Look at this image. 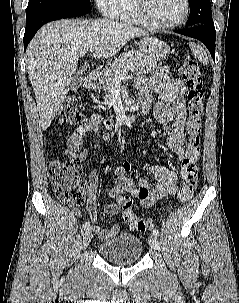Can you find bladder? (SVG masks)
<instances>
[{
    "label": "bladder",
    "mask_w": 239,
    "mask_h": 303,
    "mask_svg": "<svg viewBox=\"0 0 239 303\" xmlns=\"http://www.w3.org/2000/svg\"><path fill=\"white\" fill-rule=\"evenodd\" d=\"M143 244L140 238L129 233H119L98 246L100 256L112 263L126 265L140 260Z\"/></svg>",
    "instance_id": "obj_1"
}]
</instances>
